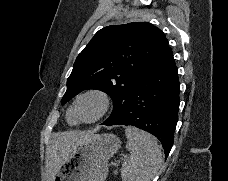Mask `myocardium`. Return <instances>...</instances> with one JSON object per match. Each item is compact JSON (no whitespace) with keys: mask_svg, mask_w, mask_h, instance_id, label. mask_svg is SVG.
<instances>
[{"mask_svg":"<svg viewBox=\"0 0 228 181\" xmlns=\"http://www.w3.org/2000/svg\"><path fill=\"white\" fill-rule=\"evenodd\" d=\"M86 98L94 99L96 101V104H97L96 111H95V114L90 119H81V118L80 119L88 123L95 122L98 119H100L106 112L109 104L108 96L102 92H97V91H89L79 96L74 103V112L78 117H80L79 103L81 100Z\"/></svg>","mask_w":228,"mask_h":181,"instance_id":"1","label":"myocardium"}]
</instances>
